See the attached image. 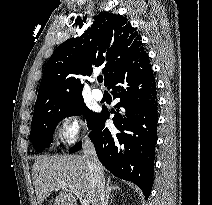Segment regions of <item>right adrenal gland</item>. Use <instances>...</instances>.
I'll use <instances>...</instances> for the list:
<instances>
[{
    "instance_id": "right-adrenal-gland-1",
    "label": "right adrenal gland",
    "mask_w": 212,
    "mask_h": 205,
    "mask_svg": "<svg viewBox=\"0 0 212 205\" xmlns=\"http://www.w3.org/2000/svg\"><path fill=\"white\" fill-rule=\"evenodd\" d=\"M111 182L110 180L107 181V186H106V199H105V204L108 205L109 199H110V193L113 192L114 190H120V187L117 185H110Z\"/></svg>"
}]
</instances>
